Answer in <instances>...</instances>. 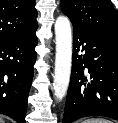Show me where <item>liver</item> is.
I'll return each instance as SVG.
<instances>
[{"instance_id":"1","label":"liver","mask_w":118,"mask_h":123,"mask_svg":"<svg viewBox=\"0 0 118 123\" xmlns=\"http://www.w3.org/2000/svg\"><path fill=\"white\" fill-rule=\"evenodd\" d=\"M0 123H4V120L0 117Z\"/></svg>"}]
</instances>
